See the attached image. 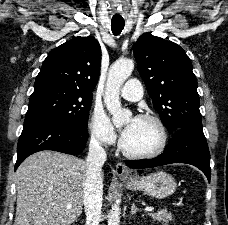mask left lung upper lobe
<instances>
[{
  "mask_svg": "<svg viewBox=\"0 0 228 225\" xmlns=\"http://www.w3.org/2000/svg\"><path fill=\"white\" fill-rule=\"evenodd\" d=\"M133 50L153 107L169 133L184 128L202 130L197 79L183 48L147 32Z\"/></svg>",
  "mask_w": 228,
  "mask_h": 225,
  "instance_id": "5c2ea615",
  "label": "left lung upper lobe"
}]
</instances>
